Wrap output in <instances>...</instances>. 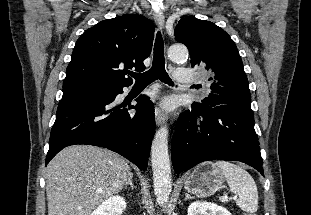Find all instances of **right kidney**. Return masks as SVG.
I'll return each instance as SVG.
<instances>
[{
    "label": "right kidney",
    "instance_id": "1",
    "mask_svg": "<svg viewBox=\"0 0 311 215\" xmlns=\"http://www.w3.org/2000/svg\"><path fill=\"white\" fill-rule=\"evenodd\" d=\"M126 208V201L121 196H112L102 202L90 215H121Z\"/></svg>",
    "mask_w": 311,
    "mask_h": 215
}]
</instances>
